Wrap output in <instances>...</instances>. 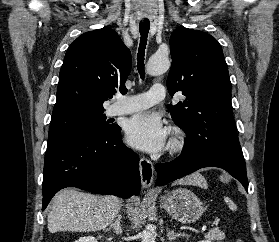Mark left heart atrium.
<instances>
[{"label":"left heart atrium","instance_id":"1","mask_svg":"<svg viewBox=\"0 0 279 242\" xmlns=\"http://www.w3.org/2000/svg\"><path fill=\"white\" fill-rule=\"evenodd\" d=\"M168 129L159 115L140 113L131 117L125 126L128 144L149 153H160L168 144Z\"/></svg>","mask_w":279,"mask_h":242}]
</instances>
